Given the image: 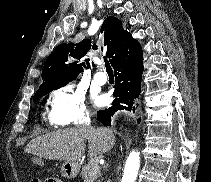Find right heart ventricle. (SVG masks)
I'll return each mask as SVG.
<instances>
[{
  "mask_svg": "<svg viewBox=\"0 0 211 182\" xmlns=\"http://www.w3.org/2000/svg\"><path fill=\"white\" fill-rule=\"evenodd\" d=\"M50 122H51V124H54L51 119H50Z\"/></svg>",
  "mask_w": 211,
  "mask_h": 182,
  "instance_id": "obj_1",
  "label": "right heart ventricle"
}]
</instances>
